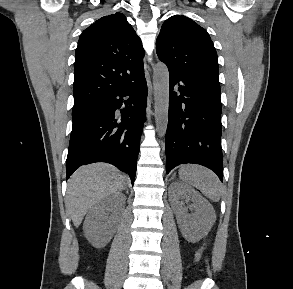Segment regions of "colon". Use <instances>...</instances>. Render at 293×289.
Returning <instances> with one entry per match:
<instances>
[{"label": "colon", "instance_id": "obj_1", "mask_svg": "<svg viewBox=\"0 0 293 289\" xmlns=\"http://www.w3.org/2000/svg\"><path fill=\"white\" fill-rule=\"evenodd\" d=\"M203 251H204V247H201L195 254V257H194V263H198L202 257V254H203Z\"/></svg>", "mask_w": 293, "mask_h": 289}]
</instances>
